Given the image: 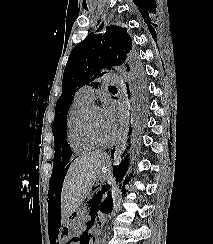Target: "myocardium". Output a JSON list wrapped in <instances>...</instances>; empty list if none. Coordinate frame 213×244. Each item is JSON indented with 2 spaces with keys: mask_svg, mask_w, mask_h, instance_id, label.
<instances>
[{
  "mask_svg": "<svg viewBox=\"0 0 213 244\" xmlns=\"http://www.w3.org/2000/svg\"><path fill=\"white\" fill-rule=\"evenodd\" d=\"M94 108H99V107L94 104H91L84 114L83 127H84L85 134L88 137V139L96 145H101V146L108 145L112 143L116 138V132L115 130H113L112 135L107 139H100L95 135L90 123V113L91 110Z\"/></svg>",
  "mask_w": 213,
  "mask_h": 244,
  "instance_id": "f54148a6",
  "label": "myocardium"
}]
</instances>
